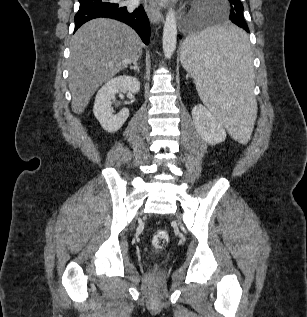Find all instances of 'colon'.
I'll list each match as a JSON object with an SVG mask.
<instances>
[{
    "label": "colon",
    "instance_id": "obj_1",
    "mask_svg": "<svg viewBox=\"0 0 307 317\" xmlns=\"http://www.w3.org/2000/svg\"><path fill=\"white\" fill-rule=\"evenodd\" d=\"M168 243L169 234L165 230H158L152 238V245L156 250H162L166 248Z\"/></svg>",
    "mask_w": 307,
    "mask_h": 317
}]
</instances>
